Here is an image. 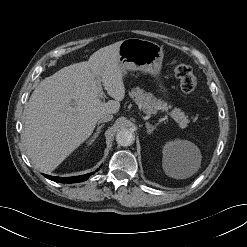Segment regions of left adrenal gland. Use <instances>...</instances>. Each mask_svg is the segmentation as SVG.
<instances>
[{
  "instance_id": "a2214340",
  "label": "left adrenal gland",
  "mask_w": 247,
  "mask_h": 247,
  "mask_svg": "<svg viewBox=\"0 0 247 247\" xmlns=\"http://www.w3.org/2000/svg\"><path fill=\"white\" fill-rule=\"evenodd\" d=\"M146 128H147V133H152L153 132V130H155L156 129V125H152V124H150L149 122H146Z\"/></svg>"
}]
</instances>
